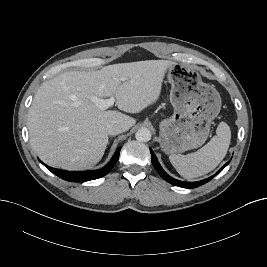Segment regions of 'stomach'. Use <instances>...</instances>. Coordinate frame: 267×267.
<instances>
[{
  "label": "stomach",
  "mask_w": 267,
  "mask_h": 267,
  "mask_svg": "<svg viewBox=\"0 0 267 267\" xmlns=\"http://www.w3.org/2000/svg\"><path fill=\"white\" fill-rule=\"evenodd\" d=\"M165 74L174 113L160 122L159 138L162 151L172 155L205 143L210 124L220 112L221 97L194 68L173 63Z\"/></svg>",
  "instance_id": "obj_1"
}]
</instances>
